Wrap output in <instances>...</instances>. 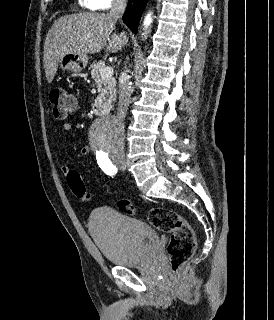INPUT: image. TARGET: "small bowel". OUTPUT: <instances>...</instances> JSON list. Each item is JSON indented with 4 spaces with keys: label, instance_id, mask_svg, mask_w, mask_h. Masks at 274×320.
Returning a JSON list of instances; mask_svg holds the SVG:
<instances>
[{
    "label": "small bowel",
    "instance_id": "small-bowel-1",
    "mask_svg": "<svg viewBox=\"0 0 274 320\" xmlns=\"http://www.w3.org/2000/svg\"><path fill=\"white\" fill-rule=\"evenodd\" d=\"M62 129H63V131H65V132H69V131L72 130V124L66 122V123H64V124L62 125ZM90 152H91V148L88 147V146L83 147V148L81 149V151H80V153H81L82 155H88V154H90ZM60 169H61L62 173L66 174V175H67V173L70 171L69 167H68L66 164L61 165Z\"/></svg>",
    "mask_w": 274,
    "mask_h": 320
}]
</instances>
